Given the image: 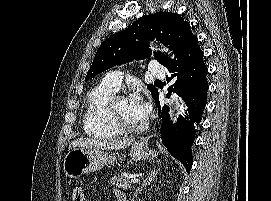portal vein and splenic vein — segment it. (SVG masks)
<instances>
[{
	"label": "portal vein and splenic vein",
	"mask_w": 271,
	"mask_h": 201,
	"mask_svg": "<svg viewBox=\"0 0 271 201\" xmlns=\"http://www.w3.org/2000/svg\"><path fill=\"white\" fill-rule=\"evenodd\" d=\"M131 182H132V183H138V182H139V179L134 177V178L131 179Z\"/></svg>",
	"instance_id": "18ae733b"
}]
</instances>
